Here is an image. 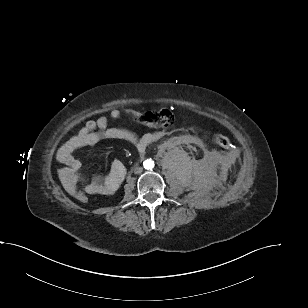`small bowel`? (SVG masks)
I'll return each instance as SVG.
<instances>
[{
  "instance_id": "c3829d8e",
  "label": "small bowel",
  "mask_w": 308,
  "mask_h": 308,
  "mask_svg": "<svg viewBox=\"0 0 308 308\" xmlns=\"http://www.w3.org/2000/svg\"><path fill=\"white\" fill-rule=\"evenodd\" d=\"M123 114L120 109H113L109 116L117 119ZM161 133H146L138 136L134 132L117 127H109L107 116H100L95 120H88L76 135L68 139L57 151V160L66 166L65 175L67 176V188L71 193L79 189L83 183L80 174L81 162L74 156V152L85 146L95 145L103 139L123 140L136 146L139 150H144L149 144L158 140ZM126 174L124 164L119 160H114L109 173L104 178L95 177L90 182L82 186L88 195H111L113 194Z\"/></svg>"
}]
</instances>
